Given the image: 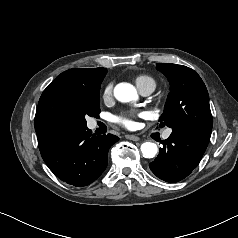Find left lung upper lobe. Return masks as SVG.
<instances>
[{"instance_id":"left-lung-upper-lobe-1","label":"left lung upper lobe","mask_w":238,"mask_h":238,"mask_svg":"<svg viewBox=\"0 0 238 238\" xmlns=\"http://www.w3.org/2000/svg\"><path fill=\"white\" fill-rule=\"evenodd\" d=\"M156 66L170 83L160 126L210 139L213 122L209 96L200 76L183 65L157 63Z\"/></svg>"}]
</instances>
